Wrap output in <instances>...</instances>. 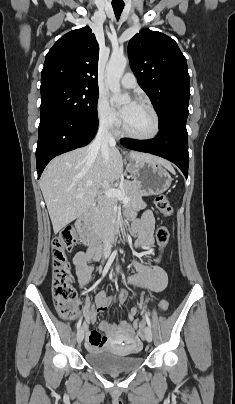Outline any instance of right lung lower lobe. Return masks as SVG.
<instances>
[{
  "label": "right lung lower lobe",
  "instance_id": "1",
  "mask_svg": "<svg viewBox=\"0 0 235 404\" xmlns=\"http://www.w3.org/2000/svg\"><path fill=\"white\" fill-rule=\"evenodd\" d=\"M98 119L51 114L40 118L36 162L38 178L55 156L86 146L96 134Z\"/></svg>",
  "mask_w": 235,
  "mask_h": 404
}]
</instances>
